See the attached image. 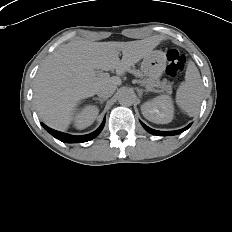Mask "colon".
I'll return each mask as SVG.
<instances>
[{"instance_id":"1","label":"colon","mask_w":232,"mask_h":232,"mask_svg":"<svg viewBox=\"0 0 232 232\" xmlns=\"http://www.w3.org/2000/svg\"><path fill=\"white\" fill-rule=\"evenodd\" d=\"M186 58L178 50L171 49L167 53V73L172 77L178 76L184 69Z\"/></svg>"}]
</instances>
